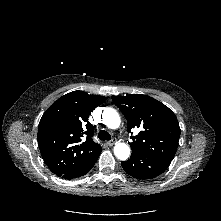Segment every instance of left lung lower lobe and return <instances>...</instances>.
<instances>
[{"label":"left lung lower lobe","instance_id":"0a47b994","mask_svg":"<svg viewBox=\"0 0 221 221\" xmlns=\"http://www.w3.org/2000/svg\"><path fill=\"white\" fill-rule=\"evenodd\" d=\"M171 161L163 159L145 158L132 154L130 159L122 161L121 165L126 173L137 179H152L162 174Z\"/></svg>","mask_w":221,"mask_h":221}]
</instances>
